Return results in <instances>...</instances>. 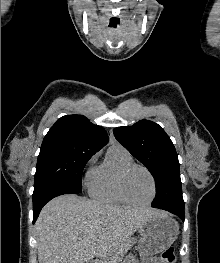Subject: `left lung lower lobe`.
Here are the masks:
<instances>
[{
    "label": "left lung lower lobe",
    "instance_id": "obj_1",
    "mask_svg": "<svg viewBox=\"0 0 220 263\" xmlns=\"http://www.w3.org/2000/svg\"><path fill=\"white\" fill-rule=\"evenodd\" d=\"M167 211L179 216L184 221V210H172V209H169Z\"/></svg>",
    "mask_w": 220,
    "mask_h": 263
}]
</instances>
